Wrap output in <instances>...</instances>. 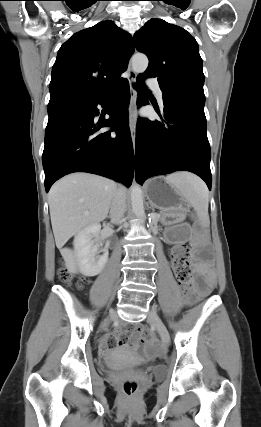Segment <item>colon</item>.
Returning a JSON list of instances; mask_svg holds the SVG:
<instances>
[{
	"instance_id": "1",
	"label": "colon",
	"mask_w": 261,
	"mask_h": 427,
	"mask_svg": "<svg viewBox=\"0 0 261 427\" xmlns=\"http://www.w3.org/2000/svg\"><path fill=\"white\" fill-rule=\"evenodd\" d=\"M188 255L189 250L186 245H178L173 247L171 250L173 269L182 286H186L192 277L187 261ZM58 275L60 280L63 282H70L73 277L72 271L66 265H63L59 269ZM82 282H85V280H82ZM136 331L143 343L150 341V335L144 327L139 326L136 328ZM122 388L125 395L133 396L138 390V382L134 379H128L123 383Z\"/></svg>"
}]
</instances>
